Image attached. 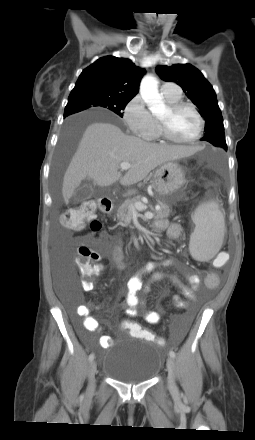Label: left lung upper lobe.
Listing matches in <instances>:
<instances>
[{
	"mask_svg": "<svg viewBox=\"0 0 255 440\" xmlns=\"http://www.w3.org/2000/svg\"><path fill=\"white\" fill-rule=\"evenodd\" d=\"M156 72L164 81L177 83L199 108V113L206 121L205 136L201 140L227 150L223 118L216 94L203 74L191 64H175L170 67L160 65Z\"/></svg>",
	"mask_w": 255,
	"mask_h": 440,
	"instance_id": "obj_1",
	"label": "left lung upper lobe"
}]
</instances>
